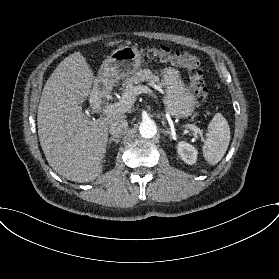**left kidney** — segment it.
Returning <instances> with one entry per match:
<instances>
[{
  "label": "left kidney",
  "instance_id": "1",
  "mask_svg": "<svg viewBox=\"0 0 279 279\" xmlns=\"http://www.w3.org/2000/svg\"><path fill=\"white\" fill-rule=\"evenodd\" d=\"M178 154L181 156L182 160L188 164H193L196 161V149L185 142L179 143Z\"/></svg>",
  "mask_w": 279,
  "mask_h": 279
}]
</instances>
